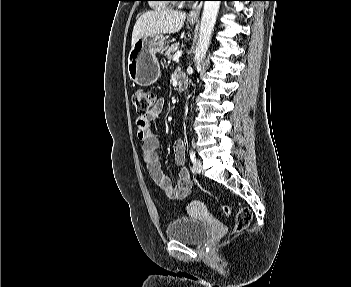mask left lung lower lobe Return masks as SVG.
Returning <instances> with one entry per match:
<instances>
[{
	"label": "left lung lower lobe",
	"mask_w": 351,
	"mask_h": 287,
	"mask_svg": "<svg viewBox=\"0 0 351 287\" xmlns=\"http://www.w3.org/2000/svg\"><path fill=\"white\" fill-rule=\"evenodd\" d=\"M204 1V0H203ZM220 1H233V0H220Z\"/></svg>",
	"instance_id": "obj_1"
}]
</instances>
